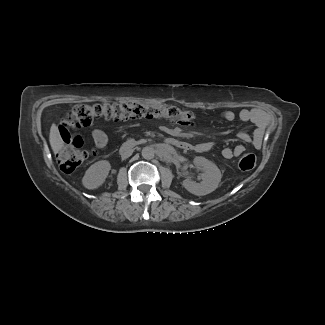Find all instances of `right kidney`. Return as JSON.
Listing matches in <instances>:
<instances>
[{
    "label": "right kidney",
    "instance_id": "ca27d5eb",
    "mask_svg": "<svg viewBox=\"0 0 325 325\" xmlns=\"http://www.w3.org/2000/svg\"><path fill=\"white\" fill-rule=\"evenodd\" d=\"M111 165L108 161L102 160L91 165L84 177L82 178V184L87 189H96L101 186L107 178Z\"/></svg>",
    "mask_w": 325,
    "mask_h": 325
}]
</instances>
